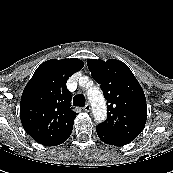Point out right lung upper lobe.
<instances>
[{
    "instance_id": "cb5924a9",
    "label": "right lung upper lobe",
    "mask_w": 173,
    "mask_h": 173,
    "mask_svg": "<svg viewBox=\"0 0 173 173\" xmlns=\"http://www.w3.org/2000/svg\"><path fill=\"white\" fill-rule=\"evenodd\" d=\"M83 66L79 59H51L36 69L26 85L20 119L25 131L38 143L50 146L73 129L77 113L71 109L66 82Z\"/></svg>"
}]
</instances>
